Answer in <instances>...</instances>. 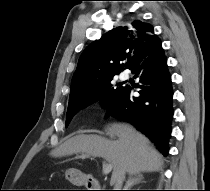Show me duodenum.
Returning a JSON list of instances; mask_svg holds the SVG:
<instances>
[{"instance_id": "1", "label": "duodenum", "mask_w": 210, "mask_h": 191, "mask_svg": "<svg viewBox=\"0 0 210 191\" xmlns=\"http://www.w3.org/2000/svg\"><path fill=\"white\" fill-rule=\"evenodd\" d=\"M83 182L92 191L99 190L101 186L99 181L93 177H84Z\"/></svg>"}]
</instances>
